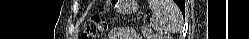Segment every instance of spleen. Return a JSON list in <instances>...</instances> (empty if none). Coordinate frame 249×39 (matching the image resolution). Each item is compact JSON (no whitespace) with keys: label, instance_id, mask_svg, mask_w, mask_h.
Wrapping results in <instances>:
<instances>
[{"label":"spleen","instance_id":"3e777b00","mask_svg":"<svg viewBox=\"0 0 249 39\" xmlns=\"http://www.w3.org/2000/svg\"><path fill=\"white\" fill-rule=\"evenodd\" d=\"M148 3L153 12L152 27L157 32L156 37L162 39L164 34L171 32L173 23L180 22V10L177 6L171 7L169 0H149Z\"/></svg>","mask_w":249,"mask_h":39}]
</instances>
